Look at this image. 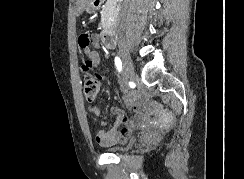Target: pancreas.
<instances>
[{
    "mask_svg": "<svg viewBox=\"0 0 244 179\" xmlns=\"http://www.w3.org/2000/svg\"><path fill=\"white\" fill-rule=\"evenodd\" d=\"M108 6H109V2H107V4H105V6H104V8L102 10V18H104L105 14H107Z\"/></svg>",
    "mask_w": 244,
    "mask_h": 179,
    "instance_id": "1",
    "label": "pancreas"
}]
</instances>
